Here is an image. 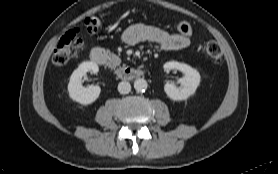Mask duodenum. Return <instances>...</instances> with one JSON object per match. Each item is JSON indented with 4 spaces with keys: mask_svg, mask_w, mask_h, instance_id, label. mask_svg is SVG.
Returning a JSON list of instances; mask_svg holds the SVG:
<instances>
[{
    "mask_svg": "<svg viewBox=\"0 0 278 174\" xmlns=\"http://www.w3.org/2000/svg\"><path fill=\"white\" fill-rule=\"evenodd\" d=\"M90 59L96 64L104 65L107 62V55L104 50L96 47L90 51ZM143 74L144 71L139 68L123 66L117 70L118 77L124 80L137 79L142 77Z\"/></svg>",
    "mask_w": 278,
    "mask_h": 174,
    "instance_id": "410a0bca",
    "label": "duodenum"
}]
</instances>
